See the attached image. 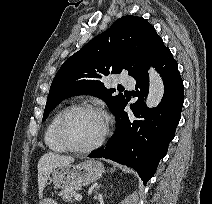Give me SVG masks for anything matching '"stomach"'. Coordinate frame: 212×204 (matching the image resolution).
<instances>
[{
  "label": "stomach",
  "mask_w": 212,
  "mask_h": 204,
  "mask_svg": "<svg viewBox=\"0 0 212 204\" xmlns=\"http://www.w3.org/2000/svg\"><path fill=\"white\" fill-rule=\"evenodd\" d=\"M104 167L100 161L87 160L80 164L63 165L52 170L49 176L57 188H76L88 185L101 178ZM40 204H57L54 200L47 198Z\"/></svg>",
  "instance_id": "1"
}]
</instances>
